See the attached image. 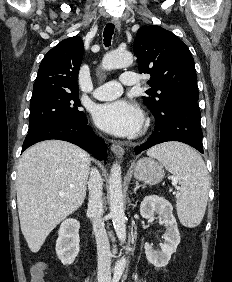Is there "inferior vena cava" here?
<instances>
[{
	"instance_id": "inferior-vena-cava-1",
	"label": "inferior vena cava",
	"mask_w": 232,
	"mask_h": 282,
	"mask_svg": "<svg viewBox=\"0 0 232 282\" xmlns=\"http://www.w3.org/2000/svg\"><path fill=\"white\" fill-rule=\"evenodd\" d=\"M89 200L88 213L91 216L93 231L97 243L98 254V280L101 282L111 281V252L110 244L105 230V225L102 220L103 204H102V189L103 182L99 171L94 168L90 172V179L88 181Z\"/></svg>"
}]
</instances>
